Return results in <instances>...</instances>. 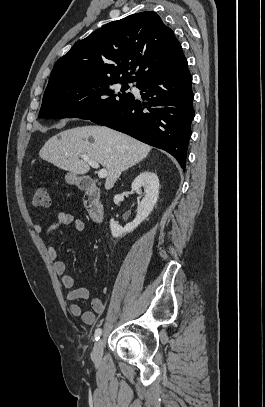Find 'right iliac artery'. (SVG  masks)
I'll list each match as a JSON object with an SVG mask.
<instances>
[{
  "label": "right iliac artery",
  "instance_id": "right-iliac-artery-1",
  "mask_svg": "<svg viewBox=\"0 0 265 407\" xmlns=\"http://www.w3.org/2000/svg\"><path fill=\"white\" fill-rule=\"evenodd\" d=\"M101 334H102V329L101 328L96 329L95 334H94L96 341L99 340Z\"/></svg>",
  "mask_w": 265,
  "mask_h": 407
}]
</instances>
